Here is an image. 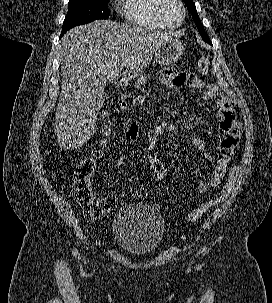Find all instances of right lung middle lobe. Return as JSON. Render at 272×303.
I'll return each mask as SVG.
<instances>
[{
	"label": "right lung middle lobe",
	"mask_w": 272,
	"mask_h": 303,
	"mask_svg": "<svg viewBox=\"0 0 272 303\" xmlns=\"http://www.w3.org/2000/svg\"><path fill=\"white\" fill-rule=\"evenodd\" d=\"M68 13L63 22L62 32L99 19H108L107 0H69Z\"/></svg>",
	"instance_id": "obj_1"
}]
</instances>
